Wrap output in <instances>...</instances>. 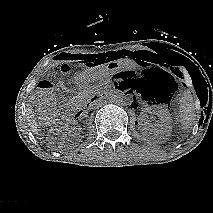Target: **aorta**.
<instances>
[{
    "instance_id": "aorta-1",
    "label": "aorta",
    "mask_w": 213,
    "mask_h": 213,
    "mask_svg": "<svg viewBox=\"0 0 213 213\" xmlns=\"http://www.w3.org/2000/svg\"><path fill=\"white\" fill-rule=\"evenodd\" d=\"M109 99L111 101V103L115 104V105H120L123 103L124 101V94L122 92H113L110 96Z\"/></svg>"
}]
</instances>
